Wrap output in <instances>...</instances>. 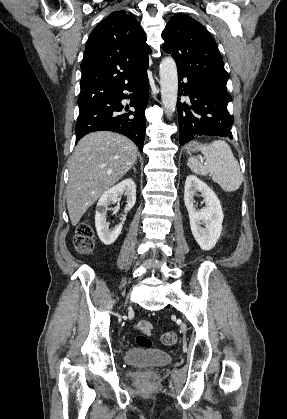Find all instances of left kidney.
Listing matches in <instances>:
<instances>
[{
	"label": "left kidney",
	"instance_id": "left-kidney-1",
	"mask_svg": "<svg viewBox=\"0 0 287 419\" xmlns=\"http://www.w3.org/2000/svg\"><path fill=\"white\" fill-rule=\"evenodd\" d=\"M200 192L204 198L205 207L196 210L194 195ZM184 202L189 214L192 234L203 250H211L217 243L223 222V212L220 200L215 192L194 175H189L185 181ZM201 225H204L202 227Z\"/></svg>",
	"mask_w": 287,
	"mask_h": 419
}]
</instances>
